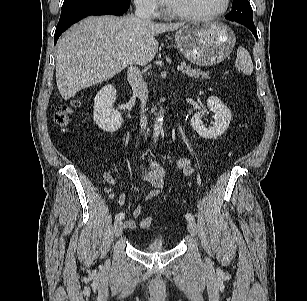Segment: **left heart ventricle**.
<instances>
[{
	"label": "left heart ventricle",
	"instance_id": "1",
	"mask_svg": "<svg viewBox=\"0 0 307 301\" xmlns=\"http://www.w3.org/2000/svg\"><path fill=\"white\" fill-rule=\"evenodd\" d=\"M224 0H170L168 7L187 14L212 13L223 6Z\"/></svg>",
	"mask_w": 307,
	"mask_h": 301
}]
</instances>
